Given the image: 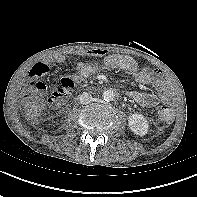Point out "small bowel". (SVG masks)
<instances>
[{
	"instance_id": "c3829d8e",
	"label": "small bowel",
	"mask_w": 197,
	"mask_h": 197,
	"mask_svg": "<svg viewBox=\"0 0 197 197\" xmlns=\"http://www.w3.org/2000/svg\"><path fill=\"white\" fill-rule=\"evenodd\" d=\"M77 56L83 57H104V65L113 70L124 71L136 79L139 84H155L158 94H150L142 91H130L129 97L143 107H153L159 102H170L173 98V88L169 82L163 79L162 73L158 69L149 67H139L137 62L130 56L121 54H106L100 49L78 50L74 52ZM65 55H57L54 58L45 59L35 64L29 71L32 78L46 75L50 70L52 62L62 64L66 61ZM99 70V65L95 62H80L77 64V73L73 80L79 82L94 75ZM33 83V82H32ZM31 83V84H32Z\"/></svg>"
}]
</instances>
